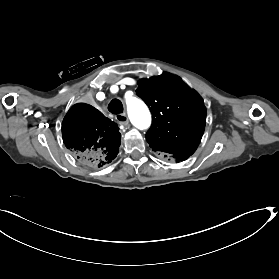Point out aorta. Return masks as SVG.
Masks as SVG:
<instances>
[{
    "label": "aorta",
    "instance_id": "aorta-1",
    "mask_svg": "<svg viewBox=\"0 0 279 279\" xmlns=\"http://www.w3.org/2000/svg\"><path fill=\"white\" fill-rule=\"evenodd\" d=\"M128 116L131 123L138 129H147L151 124V115L146 104L136 97L126 100Z\"/></svg>",
    "mask_w": 279,
    "mask_h": 279
}]
</instances>
